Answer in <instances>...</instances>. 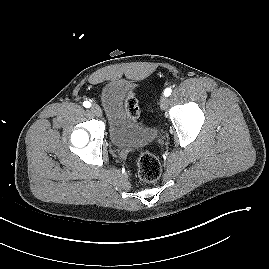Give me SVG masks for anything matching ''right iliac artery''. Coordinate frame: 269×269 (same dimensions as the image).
<instances>
[{
  "label": "right iliac artery",
  "mask_w": 269,
  "mask_h": 269,
  "mask_svg": "<svg viewBox=\"0 0 269 269\" xmlns=\"http://www.w3.org/2000/svg\"><path fill=\"white\" fill-rule=\"evenodd\" d=\"M83 106H84L85 108H89V107H91V103H90L89 101H84V102H83Z\"/></svg>",
  "instance_id": "obj_1"
}]
</instances>
